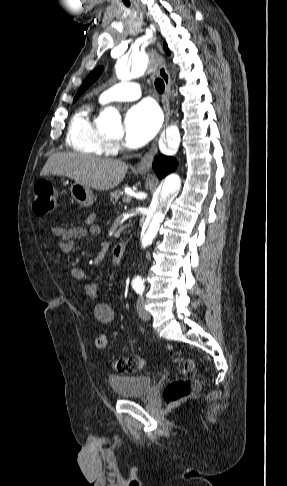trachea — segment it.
<instances>
[{"mask_svg": "<svg viewBox=\"0 0 287 486\" xmlns=\"http://www.w3.org/2000/svg\"><path fill=\"white\" fill-rule=\"evenodd\" d=\"M155 88H156V90H157L159 93H163L164 88H165V86H164V81H163L162 79H159V78H158V79H156V80H155Z\"/></svg>", "mask_w": 287, "mask_h": 486, "instance_id": "1", "label": "trachea"}]
</instances>
